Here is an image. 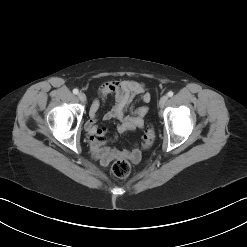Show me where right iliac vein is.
I'll list each match as a JSON object with an SVG mask.
<instances>
[{"label": "right iliac vein", "instance_id": "right-iliac-vein-1", "mask_svg": "<svg viewBox=\"0 0 247 247\" xmlns=\"http://www.w3.org/2000/svg\"><path fill=\"white\" fill-rule=\"evenodd\" d=\"M78 98L81 102H86V95L83 92L78 93Z\"/></svg>", "mask_w": 247, "mask_h": 247}]
</instances>
